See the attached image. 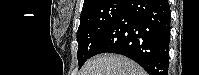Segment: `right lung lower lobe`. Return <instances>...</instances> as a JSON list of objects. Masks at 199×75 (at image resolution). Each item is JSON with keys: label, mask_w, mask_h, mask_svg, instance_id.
I'll return each instance as SVG.
<instances>
[{"label": "right lung lower lobe", "mask_w": 199, "mask_h": 75, "mask_svg": "<svg viewBox=\"0 0 199 75\" xmlns=\"http://www.w3.org/2000/svg\"><path fill=\"white\" fill-rule=\"evenodd\" d=\"M170 20L168 0H127L93 56L121 54L140 64L149 75H168Z\"/></svg>", "instance_id": "right-lung-lower-lobe-1"}]
</instances>
